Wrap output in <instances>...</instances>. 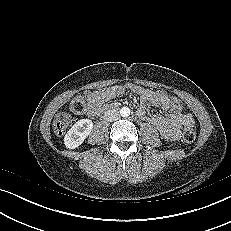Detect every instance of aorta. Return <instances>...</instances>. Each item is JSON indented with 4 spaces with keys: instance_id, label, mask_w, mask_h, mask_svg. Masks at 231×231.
<instances>
[{
    "instance_id": "762f6f07",
    "label": "aorta",
    "mask_w": 231,
    "mask_h": 231,
    "mask_svg": "<svg viewBox=\"0 0 231 231\" xmlns=\"http://www.w3.org/2000/svg\"><path fill=\"white\" fill-rule=\"evenodd\" d=\"M120 115L122 117H128L130 115V109L128 107H122L120 109Z\"/></svg>"
}]
</instances>
